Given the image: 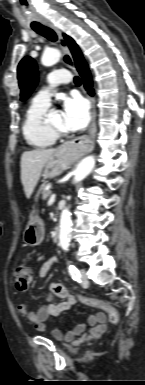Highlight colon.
<instances>
[{
    "label": "colon",
    "instance_id": "1",
    "mask_svg": "<svg viewBox=\"0 0 145 385\" xmlns=\"http://www.w3.org/2000/svg\"><path fill=\"white\" fill-rule=\"evenodd\" d=\"M31 280H32V273L28 267L24 265H19L15 268L14 281H15V286L18 290H21V291L26 290ZM55 290L59 294H64V290L61 285H57L55 287ZM81 302L87 306L96 307L103 310L107 314L108 320L111 324L117 325L119 323V319H120L119 312L111 304L102 300L90 299V298H81Z\"/></svg>",
    "mask_w": 145,
    "mask_h": 385
}]
</instances>
